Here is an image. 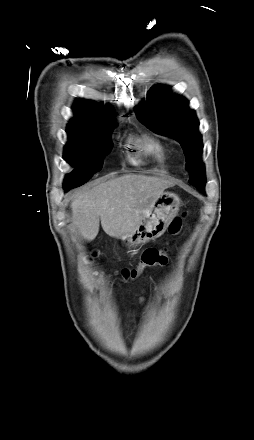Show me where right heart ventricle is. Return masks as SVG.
<instances>
[{
  "label": "right heart ventricle",
  "mask_w": 254,
  "mask_h": 440,
  "mask_svg": "<svg viewBox=\"0 0 254 440\" xmlns=\"http://www.w3.org/2000/svg\"><path fill=\"white\" fill-rule=\"evenodd\" d=\"M132 147L136 150V156L131 158L135 164L140 162V158H151L161 163L167 156L166 145L150 134H143L132 139Z\"/></svg>",
  "instance_id": "e07e8e85"
}]
</instances>
